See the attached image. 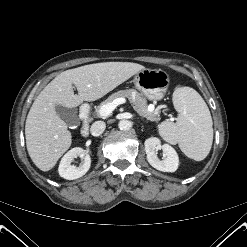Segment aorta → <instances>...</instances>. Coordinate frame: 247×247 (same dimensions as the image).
<instances>
[{"label": "aorta", "instance_id": "1", "mask_svg": "<svg viewBox=\"0 0 247 247\" xmlns=\"http://www.w3.org/2000/svg\"><path fill=\"white\" fill-rule=\"evenodd\" d=\"M120 130H129L131 128V122L128 120H121L118 124Z\"/></svg>", "mask_w": 247, "mask_h": 247}]
</instances>
